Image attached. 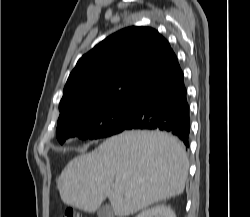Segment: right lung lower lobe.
<instances>
[{
	"mask_svg": "<svg viewBox=\"0 0 250 217\" xmlns=\"http://www.w3.org/2000/svg\"><path fill=\"white\" fill-rule=\"evenodd\" d=\"M183 72L178 65L165 79L140 93L130 123L124 130L171 132L189 147L190 112Z\"/></svg>",
	"mask_w": 250,
	"mask_h": 217,
	"instance_id": "right-lung-lower-lobe-1",
	"label": "right lung lower lobe"
}]
</instances>
